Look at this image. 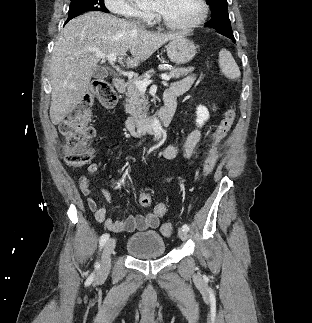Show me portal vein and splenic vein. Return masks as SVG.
<instances>
[{
    "mask_svg": "<svg viewBox=\"0 0 312 323\" xmlns=\"http://www.w3.org/2000/svg\"><path fill=\"white\" fill-rule=\"evenodd\" d=\"M98 58H102V60H108L110 64H113V62H116L117 54L116 52H111V54H96ZM162 80H165V82H169L170 78L167 76V74H162L161 76ZM152 80H144V82H135L138 90L140 92H146L147 86L151 84Z\"/></svg>",
    "mask_w": 312,
    "mask_h": 323,
    "instance_id": "obj_1",
    "label": "portal vein and splenic vein"
}]
</instances>
